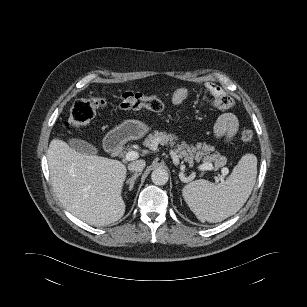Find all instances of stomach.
I'll return each instance as SVG.
<instances>
[{
	"label": "stomach",
	"mask_w": 307,
	"mask_h": 307,
	"mask_svg": "<svg viewBox=\"0 0 307 307\" xmlns=\"http://www.w3.org/2000/svg\"><path fill=\"white\" fill-rule=\"evenodd\" d=\"M150 127L139 120H126L109 134H114L120 141L136 140L142 138Z\"/></svg>",
	"instance_id": "obj_1"
}]
</instances>
